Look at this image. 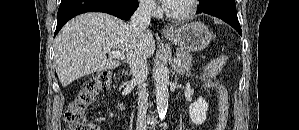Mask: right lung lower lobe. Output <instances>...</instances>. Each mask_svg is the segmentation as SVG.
Segmentation results:
<instances>
[{
  "label": "right lung lower lobe",
  "mask_w": 299,
  "mask_h": 130,
  "mask_svg": "<svg viewBox=\"0 0 299 130\" xmlns=\"http://www.w3.org/2000/svg\"><path fill=\"white\" fill-rule=\"evenodd\" d=\"M138 7V0H62L57 13L55 35L76 15L85 12H104L129 20Z\"/></svg>",
  "instance_id": "obj_1"
}]
</instances>
